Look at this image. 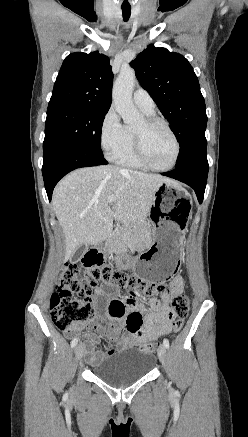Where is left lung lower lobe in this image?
Returning a JSON list of instances; mask_svg holds the SVG:
<instances>
[{"mask_svg": "<svg viewBox=\"0 0 248 437\" xmlns=\"http://www.w3.org/2000/svg\"><path fill=\"white\" fill-rule=\"evenodd\" d=\"M207 146L197 150L184 164L175 167L173 171L162 175L186 183L196 192L199 203H202L209 165L206 156Z\"/></svg>", "mask_w": 248, "mask_h": 437, "instance_id": "1", "label": "left lung lower lobe"}]
</instances>
